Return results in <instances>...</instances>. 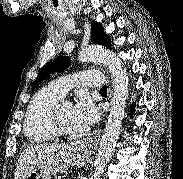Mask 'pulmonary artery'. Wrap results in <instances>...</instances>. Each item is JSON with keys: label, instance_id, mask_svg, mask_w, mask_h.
Returning <instances> with one entry per match:
<instances>
[{"label": "pulmonary artery", "instance_id": "pulmonary-artery-1", "mask_svg": "<svg viewBox=\"0 0 183 179\" xmlns=\"http://www.w3.org/2000/svg\"><path fill=\"white\" fill-rule=\"evenodd\" d=\"M76 84L101 87L104 84V78L99 71L87 70L74 75L60 77L52 81L49 87L63 97Z\"/></svg>", "mask_w": 183, "mask_h": 179}]
</instances>
